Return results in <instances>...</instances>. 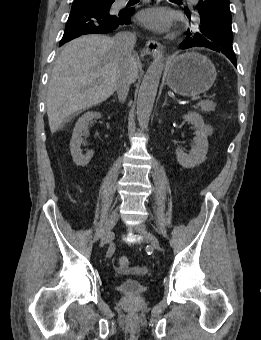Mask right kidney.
Instances as JSON below:
<instances>
[{
    "mask_svg": "<svg viewBox=\"0 0 261 340\" xmlns=\"http://www.w3.org/2000/svg\"><path fill=\"white\" fill-rule=\"evenodd\" d=\"M100 117L101 114L98 112H87L82 115L75 124L70 141V151L73 161L77 166H86L94 155L92 150L88 151L86 154H82L80 145L82 143V136L87 131L89 122L94 118Z\"/></svg>",
    "mask_w": 261,
    "mask_h": 340,
    "instance_id": "right-kidney-1",
    "label": "right kidney"
}]
</instances>
